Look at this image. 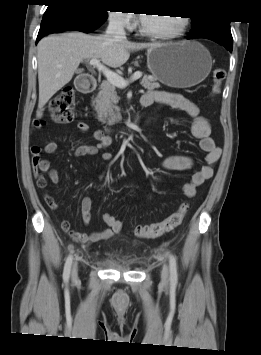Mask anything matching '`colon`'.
Wrapping results in <instances>:
<instances>
[{"mask_svg":"<svg viewBox=\"0 0 261 355\" xmlns=\"http://www.w3.org/2000/svg\"><path fill=\"white\" fill-rule=\"evenodd\" d=\"M226 77V72L222 68L215 69L213 72V83L211 94L219 93L222 82ZM50 116L53 122L64 124L73 121L75 117V96L71 87H64L50 101ZM42 125L43 122L40 121ZM189 210L187 203H183L180 207L160 222L146 225H137L135 234L142 238H157L173 231L178 227Z\"/></svg>","mask_w":261,"mask_h":355,"instance_id":"obj_1","label":"colon"}]
</instances>
